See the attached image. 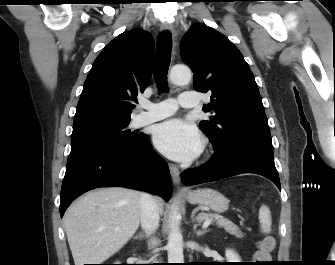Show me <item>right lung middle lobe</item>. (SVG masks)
Instances as JSON below:
<instances>
[{"label": "right lung middle lobe", "instance_id": "1", "mask_svg": "<svg viewBox=\"0 0 335 265\" xmlns=\"http://www.w3.org/2000/svg\"><path fill=\"white\" fill-rule=\"evenodd\" d=\"M130 121L96 122L73 127L71 151L88 147H127L136 144L142 134L128 129Z\"/></svg>", "mask_w": 335, "mask_h": 265}]
</instances>
